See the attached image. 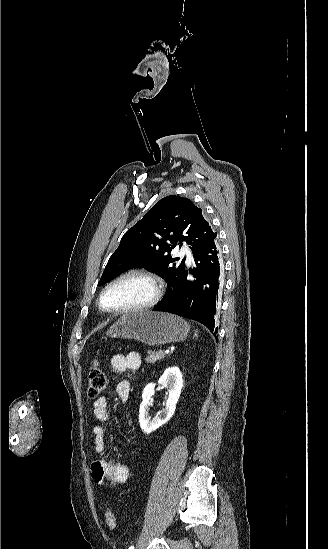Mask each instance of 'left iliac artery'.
Wrapping results in <instances>:
<instances>
[{"mask_svg":"<svg viewBox=\"0 0 328 549\" xmlns=\"http://www.w3.org/2000/svg\"><path fill=\"white\" fill-rule=\"evenodd\" d=\"M129 549H134V546L129 547Z\"/></svg>","mask_w":328,"mask_h":549,"instance_id":"obj_1","label":"left iliac artery"}]
</instances>
